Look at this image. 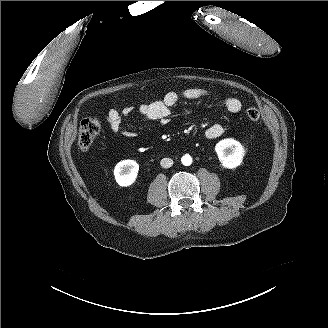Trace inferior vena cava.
<instances>
[{
    "mask_svg": "<svg viewBox=\"0 0 328 328\" xmlns=\"http://www.w3.org/2000/svg\"><path fill=\"white\" fill-rule=\"evenodd\" d=\"M163 168H170L173 165V160L170 158H163L160 162Z\"/></svg>",
    "mask_w": 328,
    "mask_h": 328,
    "instance_id": "obj_1",
    "label": "inferior vena cava"
}]
</instances>
